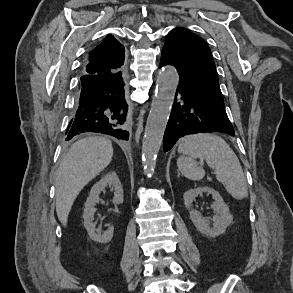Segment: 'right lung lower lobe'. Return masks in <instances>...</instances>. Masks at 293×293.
Returning a JSON list of instances; mask_svg holds the SVG:
<instances>
[{
  "label": "right lung lower lobe",
  "mask_w": 293,
  "mask_h": 293,
  "mask_svg": "<svg viewBox=\"0 0 293 293\" xmlns=\"http://www.w3.org/2000/svg\"><path fill=\"white\" fill-rule=\"evenodd\" d=\"M122 72L84 75L66 141L84 132H100L128 140L125 130L128 105Z\"/></svg>",
  "instance_id": "obj_1"
}]
</instances>
